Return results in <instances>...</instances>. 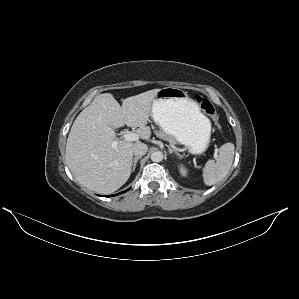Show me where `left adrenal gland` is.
I'll list each match as a JSON object with an SVG mask.
<instances>
[{
  "label": "left adrenal gland",
  "mask_w": 299,
  "mask_h": 299,
  "mask_svg": "<svg viewBox=\"0 0 299 299\" xmlns=\"http://www.w3.org/2000/svg\"><path fill=\"white\" fill-rule=\"evenodd\" d=\"M169 153H175L178 156H181L177 151L173 150L170 146H168Z\"/></svg>",
  "instance_id": "1"
}]
</instances>
